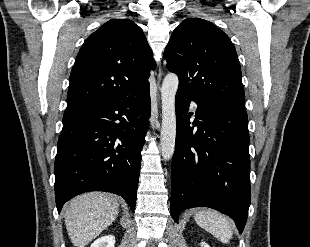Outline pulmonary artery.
<instances>
[{"label":"pulmonary artery","instance_id":"obj_1","mask_svg":"<svg viewBox=\"0 0 310 247\" xmlns=\"http://www.w3.org/2000/svg\"><path fill=\"white\" fill-rule=\"evenodd\" d=\"M194 105H195V103L192 102V106H194Z\"/></svg>","mask_w":310,"mask_h":247}]
</instances>
